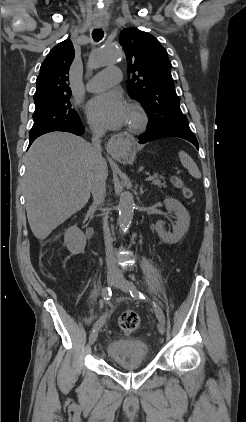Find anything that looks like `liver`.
<instances>
[{
    "instance_id": "1",
    "label": "liver",
    "mask_w": 246,
    "mask_h": 422,
    "mask_svg": "<svg viewBox=\"0 0 246 422\" xmlns=\"http://www.w3.org/2000/svg\"><path fill=\"white\" fill-rule=\"evenodd\" d=\"M25 164L27 218L34 236L44 240L90 198L91 144L71 133H48L31 145ZM102 167L107 176L104 159Z\"/></svg>"
}]
</instances>
